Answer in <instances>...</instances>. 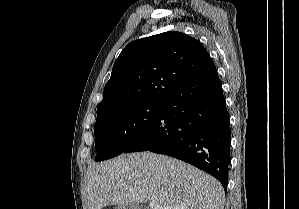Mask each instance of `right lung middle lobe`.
Here are the masks:
<instances>
[{
  "mask_svg": "<svg viewBox=\"0 0 299 209\" xmlns=\"http://www.w3.org/2000/svg\"><path fill=\"white\" fill-rule=\"evenodd\" d=\"M163 102L120 105L100 114L94 126L96 161L123 153L158 118Z\"/></svg>",
  "mask_w": 299,
  "mask_h": 209,
  "instance_id": "right-lung-middle-lobe-1",
  "label": "right lung middle lobe"
}]
</instances>
